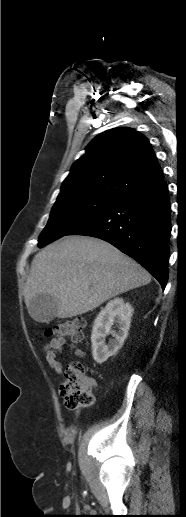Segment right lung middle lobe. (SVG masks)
<instances>
[{"mask_svg": "<svg viewBox=\"0 0 186 517\" xmlns=\"http://www.w3.org/2000/svg\"><path fill=\"white\" fill-rule=\"evenodd\" d=\"M119 198L80 194L57 198L49 221L39 237L38 246L68 235L75 228L113 205Z\"/></svg>", "mask_w": 186, "mask_h": 517, "instance_id": "obj_1", "label": "right lung middle lobe"}]
</instances>
